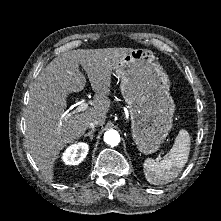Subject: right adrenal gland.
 <instances>
[{
	"label": "right adrenal gland",
	"instance_id": "2a0ac1e0",
	"mask_svg": "<svg viewBox=\"0 0 221 221\" xmlns=\"http://www.w3.org/2000/svg\"><path fill=\"white\" fill-rule=\"evenodd\" d=\"M94 132H95V128H93L90 132H88V133H85L84 134V138L85 137H90V140L92 141L93 140V134H94Z\"/></svg>",
	"mask_w": 221,
	"mask_h": 221
}]
</instances>
